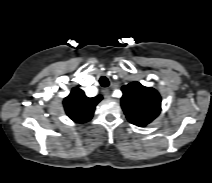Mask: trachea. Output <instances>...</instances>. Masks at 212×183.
Returning <instances> with one entry per match:
<instances>
[{"label": "trachea", "mask_w": 212, "mask_h": 183, "mask_svg": "<svg viewBox=\"0 0 212 183\" xmlns=\"http://www.w3.org/2000/svg\"><path fill=\"white\" fill-rule=\"evenodd\" d=\"M99 83L102 87H108L109 86V80L107 77L105 76H102L100 79H99Z\"/></svg>", "instance_id": "obj_1"}]
</instances>
